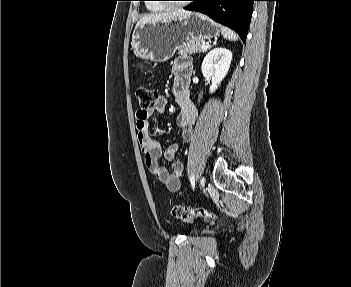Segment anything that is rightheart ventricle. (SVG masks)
I'll use <instances>...</instances> for the list:
<instances>
[{
    "label": "right heart ventricle",
    "instance_id": "obj_1",
    "mask_svg": "<svg viewBox=\"0 0 351 287\" xmlns=\"http://www.w3.org/2000/svg\"><path fill=\"white\" fill-rule=\"evenodd\" d=\"M147 8L152 12H159V11L164 10L161 5L154 4V3H148Z\"/></svg>",
    "mask_w": 351,
    "mask_h": 287
}]
</instances>
